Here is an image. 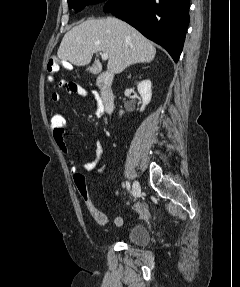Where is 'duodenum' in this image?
<instances>
[{"label": "duodenum", "mask_w": 240, "mask_h": 287, "mask_svg": "<svg viewBox=\"0 0 240 287\" xmlns=\"http://www.w3.org/2000/svg\"><path fill=\"white\" fill-rule=\"evenodd\" d=\"M96 80L100 87L103 108L107 113H111L115 106V97L110 89L112 74L108 71H104L96 76Z\"/></svg>", "instance_id": "410a0bca"}]
</instances>
